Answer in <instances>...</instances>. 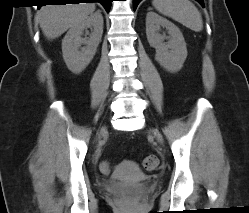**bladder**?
Returning <instances> with one entry per match:
<instances>
[{"mask_svg": "<svg viewBox=\"0 0 249 213\" xmlns=\"http://www.w3.org/2000/svg\"><path fill=\"white\" fill-rule=\"evenodd\" d=\"M104 186L111 191L125 192V193H136L144 189L141 185L129 184L122 181L107 180L104 182Z\"/></svg>", "mask_w": 249, "mask_h": 213, "instance_id": "bladder-1", "label": "bladder"}]
</instances>
